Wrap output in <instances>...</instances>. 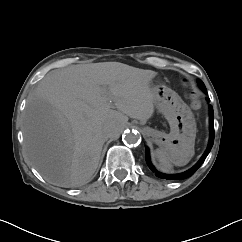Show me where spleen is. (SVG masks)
Wrapping results in <instances>:
<instances>
[{
  "mask_svg": "<svg viewBox=\"0 0 242 242\" xmlns=\"http://www.w3.org/2000/svg\"><path fill=\"white\" fill-rule=\"evenodd\" d=\"M194 154V152H193ZM192 154V156H193ZM155 156L160 162L161 169L163 171H169L172 167V164L177 166H183L189 162L190 159L184 160L181 158V155L176 151H167L164 149H156ZM191 156V157H192Z\"/></svg>",
  "mask_w": 242,
  "mask_h": 242,
  "instance_id": "obj_1",
  "label": "spleen"
}]
</instances>
